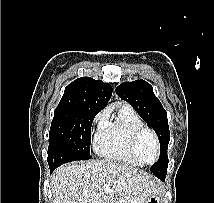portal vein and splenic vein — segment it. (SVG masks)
Returning <instances> with one entry per match:
<instances>
[{
    "label": "portal vein and splenic vein",
    "mask_w": 214,
    "mask_h": 203,
    "mask_svg": "<svg viewBox=\"0 0 214 203\" xmlns=\"http://www.w3.org/2000/svg\"><path fill=\"white\" fill-rule=\"evenodd\" d=\"M104 190H105V192H111V189H110V187H109V185L108 184H104Z\"/></svg>",
    "instance_id": "18ae733b"
}]
</instances>
